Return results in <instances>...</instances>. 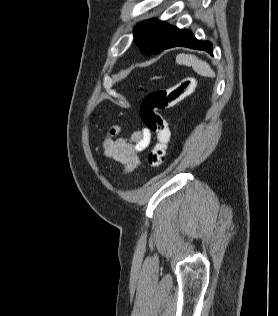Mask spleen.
Masks as SVG:
<instances>
[{
  "label": "spleen",
  "mask_w": 278,
  "mask_h": 316,
  "mask_svg": "<svg viewBox=\"0 0 278 316\" xmlns=\"http://www.w3.org/2000/svg\"><path fill=\"white\" fill-rule=\"evenodd\" d=\"M176 62L180 65L192 66L194 71L201 76L215 77L214 71L211 69L208 63L198 59L194 55L178 54L176 56Z\"/></svg>",
  "instance_id": "3e777b00"
}]
</instances>
